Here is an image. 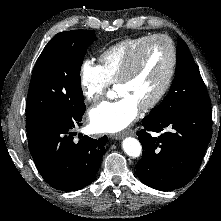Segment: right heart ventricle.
Wrapping results in <instances>:
<instances>
[{"mask_svg": "<svg viewBox=\"0 0 221 221\" xmlns=\"http://www.w3.org/2000/svg\"><path fill=\"white\" fill-rule=\"evenodd\" d=\"M150 36L123 39L107 47L99 56L102 70L111 83H116L127 61Z\"/></svg>", "mask_w": 221, "mask_h": 221, "instance_id": "1", "label": "right heart ventricle"}]
</instances>
